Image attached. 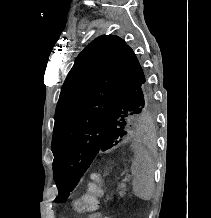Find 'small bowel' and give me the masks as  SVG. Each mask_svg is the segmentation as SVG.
I'll list each match as a JSON object with an SVG mask.
<instances>
[{"instance_id":"obj_1","label":"small bowel","mask_w":211,"mask_h":218,"mask_svg":"<svg viewBox=\"0 0 211 218\" xmlns=\"http://www.w3.org/2000/svg\"><path fill=\"white\" fill-rule=\"evenodd\" d=\"M89 218H101V214L100 213H93L89 216Z\"/></svg>"}]
</instances>
